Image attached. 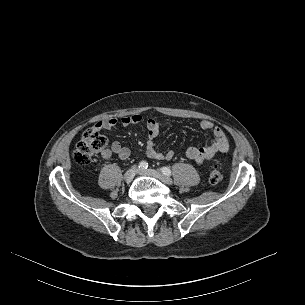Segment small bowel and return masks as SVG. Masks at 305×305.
Instances as JSON below:
<instances>
[{"mask_svg": "<svg viewBox=\"0 0 305 305\" xmlns=\"http://www.w3.org/2000/svg\"><path fill=\"white\" fill-rule=\"evenodd\" d=\"M124 126L137 125L142 122V116L138 114L126 115L120 118H109L104 121H99L95 124L97 129L109 130L115 127L118 123ZM147 127V142H146V155L149 158L157 160H171L174 158L175 153L173 150L161 152L156 147V140L160 133V124L154 118H149L146 121ZM199 128L208 131L210 138L205 144L190 146L186 151V157L195 161L198 165H203L212 160L217 153L226 152L229 149V141L224 130L210 120H202L199 123ZM131 150L123 146L120 142L114 141L110 148L102 153L105 160H109L112 156L116 155L122 160L129 158Z\"/></svg>", "mask_w": 305, "mask_h": 305, "instance_id": "small-bowel-1", "label": "small bowel"}]
</instances>
